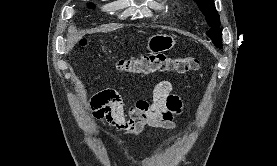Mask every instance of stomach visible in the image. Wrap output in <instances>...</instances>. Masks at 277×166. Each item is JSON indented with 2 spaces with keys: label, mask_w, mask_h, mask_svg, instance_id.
Wrapping results in <instances>:
<instances>
[{
  "label": "stomach",
  "mask_w": 277,
  "mask_h": 166,
  "mask_svg": "<svg viewBox=\"0 0 277 166\" xmlns=\"http://www.w3.org/2000/svg\"><path fill=\"white\" fill-rule=\"evenodd\" d=\"M175 45V39L171 35L156 34L149 38L147 49L151 53H160L172 49Z\"/></svg>",
  "instance_id": "obj_1"
}]
</instances>
